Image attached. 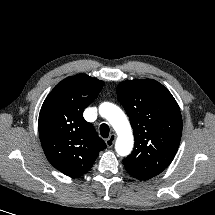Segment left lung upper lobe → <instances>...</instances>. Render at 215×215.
Instances as JSON below:
<instances>
[{
  "mask_svg": "<svg viewBox=\"0 0 215 215\" xmlns=\"http://www.w3.org/2000/svg\"><path fill=\"white\" fill-rule=\"evenodd\" d=\"M133 128L135 146L123 160L139 180L160 174L172 162L181 139L182 117L172 94L153 79L127 80L117 87Z\"/></svg>",
  "mask_w": 215,
  "mask_h": 215,
  "instance_id": "5c2ea615",
  "label": "left lung upper lobe"
}]
</instances>
